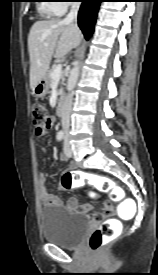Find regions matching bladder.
<instances>
[{"mask_svg":"<svg viewBox=\"0 0 158 275\" xmlns=\"http://www.w3.org/2000/svg\"><path fill=\"white\" fill-rule=\"evenodd\" d=\"M41 223L44 240L66 249L76 248L90 226L84 214L71 213L60 206L43 208Z\"/></svg>","mask_w":158,"mask_h":275,"instance_id":"31cf9c89","label":"bladder"}]
</instances>
